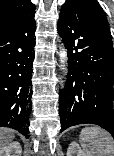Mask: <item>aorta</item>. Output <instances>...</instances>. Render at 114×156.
Segmentation results:
<instances>
[{
	"mask_svg": "<svg viewBox=\"0 0 114 156\" xmlns=\"http://www.w3.org/2000/svg\"><path fill=\"white\" fill-rule=\"evenodd\" d=\"M66 57H67V52L66 50L62 47L60 50V58H61V62L64 63L66 61Z\"/></svg>",
	"mask_w": 114,
	"mask_h": 156,
	"instance_id": "obj_1",
	"label": "aorta"
}]
</instances>
